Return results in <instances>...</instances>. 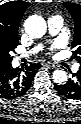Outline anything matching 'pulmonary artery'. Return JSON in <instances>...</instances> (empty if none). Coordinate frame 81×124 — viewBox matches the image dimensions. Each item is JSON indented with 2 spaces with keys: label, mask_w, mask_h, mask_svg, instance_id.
<instances>
[{
  "label": "pulmonary artery",
  "mask_w": 81,
  "mask_h": 124,
  "mask_svg": "<svg viewBox=\"0 0 81 124\" xmlns=\"http://www.w3.org/2000/svg\"><path fill=\"white\" fill-rule=\"evenodd\" d=\"M47 25H48V31L51 35H56L58 34L63 26V20L60 16L55 15V16H51L48 18L47 20ZM41 45H37L35 47H33L30 50H27L23 53H21L16 59L19 60L20 58H27L35 53H37L39 50H41ZM72 69L74 71H76L78 69V65L74 64L72 66Z\"/></svg>",
  "instance_id": "1"
}]
</instances>
